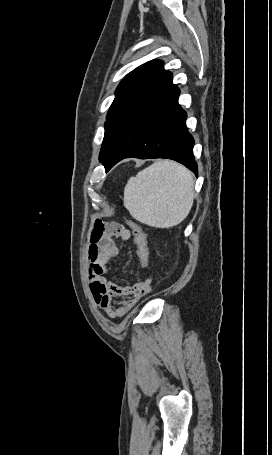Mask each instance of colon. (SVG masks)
I'll use <instances>...</instances> for the list:
<instances>
[{"label": "colon", "mask_w": 272, "mask_h": 455, "mask_svg": "<svg viewBox=\"0 0 272 455\" xmlns=\"http://www.w3.org/2000/svg\"><path fill=\"white\" fill-rule=\"evenodd\" d=\"M127 224L131 228L134 236L136 254L139 260L140 268L142 271H147L149 268V249L146 234L139 223L128 220Z\"/></svg>", "instance_id": "colon-1"}]
</instances>
